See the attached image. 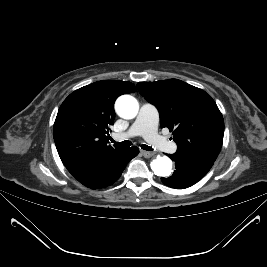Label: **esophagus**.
<instances>
[{
  "label": "esophagus",
  "instance_id": "34e87169",
  "mask_svg": "<svg viewBox=\"0 0 267 267\" xmlns=\"http://www.w3.org/2000/svg\"><path fill=\"white\" fill-rule=\"evenodd\" d=\"M141 154L145 157V158H150L154 155V153L152 152H148V151H141Z\"/></svg>",
  "mask_w": 267,
  "mask_h": 267
}]
</instances>
